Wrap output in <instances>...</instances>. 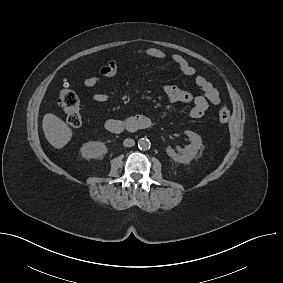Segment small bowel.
Returning <instances> with one entry per match:
<instances>
[{
	"mask_svg": "<svg viewBox=\"0 0 283 283\" xmlns=\"http://www.w3.org/2000/svg\"><path fill=\"white\" fill-rule=\"evenodd\" d=\"M133 56H143L157 60H169L174 63L179 70L187 77H195V83L201 91V95L193 96L189 91L174 85H166L162 91L168 100L175 103L190 104V116L192 118H201L205 115L209 108V104L218 105L220 103V95L214 85L204 76L196 75L195 68L180 54H168L161 49L155 47L138 48L131 52ZM118 71V59L112 58L106 64L100 67L99 75L90 76L83 80V85L92 88L103 82L106 78H112ZM115 91H105L95 93L91 100L94 103H105L113 95Z\"/></svg>",
	"mask_w": 283,
	"mask_h": 283,
	"instance_id": "1",
	"label": "small bowel"
}]
</instances>
